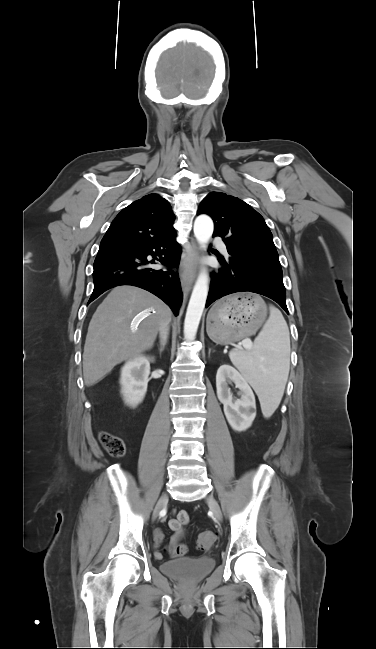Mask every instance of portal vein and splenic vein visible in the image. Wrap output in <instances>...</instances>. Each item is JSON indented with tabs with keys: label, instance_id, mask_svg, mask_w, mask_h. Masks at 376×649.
<instances>
[{
	"label": "portal vein and splenic vein",
	"instance_id": "obj_1",
	"mask_svg": "<svg viewBox=\"0 0 376 649\" xmlns=\"http://www.w3.org/2000/svg\"><path fill=\"white\" fill-rule=\"evenodd\" d=\"M242 345H243V347H245V348H251V341H250V339H245V340L242 342Z\"/></svg>",
	"mask_w": 376,
	"mask_h": 649
}]
</instances>
